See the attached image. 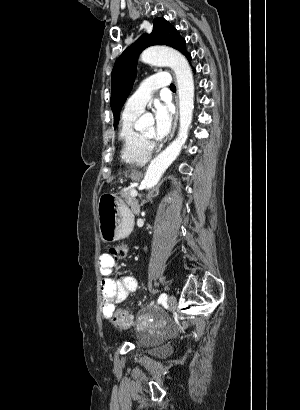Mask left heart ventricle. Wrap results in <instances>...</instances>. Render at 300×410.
Instances as JSON below:
<instances>
[{"mask_svg":"<svg viewBox=\"0 0 300 410\" xmlns=\"http://www.w3.org/2000/svg\"><path fill=\"white\" fill-rule=\"evenodd\" d=\"M143 134L145 136L151 137L154 134V128L153 126H150L148 129H146Z\"/></svg>","mask_w":300,"mask_h":410,"instance_id":"left-heart-ventricle-1","label":"left heart ventricle"}]
</instances>
